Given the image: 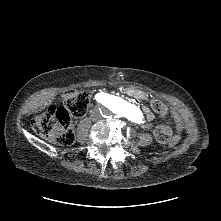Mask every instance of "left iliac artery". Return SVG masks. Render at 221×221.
<instances>
[{"instance_id": "44dca946", "label": "left iliac artery", "mask_w": 221, "mask_h": 221, "mask_svg": "<svg viewBox=\"0 0 221 221\" xmlns=\"http://www.w3.org/2000/svg\"><path fill=\"white\" fill-rule=\"evenodd\" d=\"M114 102H115V99L113 96L104 101L105 106L110 107V108L114 106Z\"/></svg>"}]
</instances>
